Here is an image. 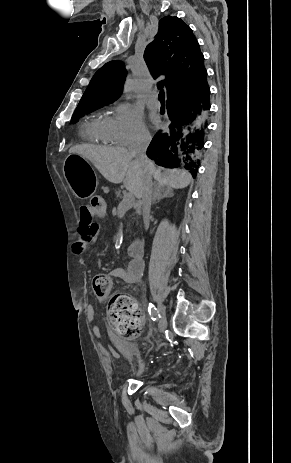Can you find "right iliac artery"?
I'll use <instances>...</instances> for the list:
<instances>
[{
	"label": "right iliac artery",
	"instance_id": "1",
	"mask_svg": "<svg viewBox=\"0 0 291 463\" xmlns=\"http://www.w3.org/2000/svg\"><path fill=\"white\" fill-rule=\"evenodd\" d=\"M148 312H149V315L151 316V319L153 321H155L159 316L158 310L156 309V307L152 303H149Z\"/></svg>",
	"mask_w": 291,
	"mask_h": 463
}]
</instances>
